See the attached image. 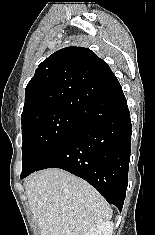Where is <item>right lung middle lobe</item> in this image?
Masks as SVG:
<instances>
[{"instance_id":"right-lung-middle-lobe-1","label":"right lung middle lobe","mask_w":155,"mask_h":235,"mask_svg":"<svg viewBox=\"0 0 155 235\" xmlns=\"http://www.w3.org/2000/svg\"><path fill=\"white\" fill-rule=\"evenodd\" d=\"M22 173L40 166L86 120L75 112L56 106L36 109L21 116Z\"/></svg>"}]
</instances>
